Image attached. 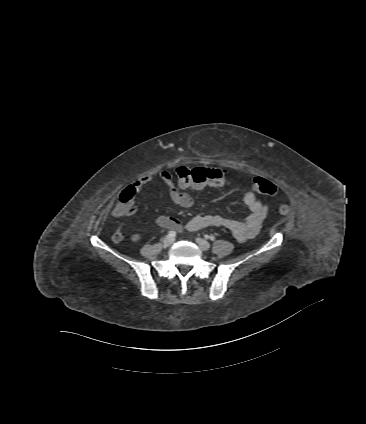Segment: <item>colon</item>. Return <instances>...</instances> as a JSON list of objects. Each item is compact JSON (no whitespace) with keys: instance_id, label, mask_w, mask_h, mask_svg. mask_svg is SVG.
I'll return each mask as SVG.
<instances>
[{"instance_id":"5ec220e1","label":"colon","mask_w":366,"mask_h":424,"mask_svg":"<svg viewBox=\"0 0 366 424\" xmlns=\"http://www.w3.org/2000/svg\"><path fill=\"white\" fill-rule=\"evenodd\" d=\"M175 173L179 183L183 186L191 188L207 187L214 183L220 175L216 173L215 168H190L184 165H179L175 169ZM253 187L256 192L261 194L274 196L277 193V188L268 180L258 177L255 179ZM136 191L133 188H128L120 195L119 203L114 209V212L119 216H128L135 212L134 195ZM278 211L281 214H288L290 207L287 203H280Z\"/></svg>"}]
</instances>
